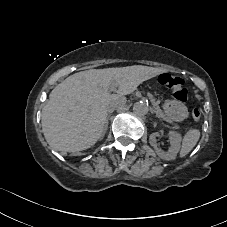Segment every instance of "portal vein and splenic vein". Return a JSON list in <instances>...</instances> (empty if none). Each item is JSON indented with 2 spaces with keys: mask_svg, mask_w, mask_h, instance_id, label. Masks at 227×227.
<instances>
[{
  "mask_svg": "<svg viewBox=\"0 0 227 227\" xmlns=\"http://www.w3.org/2000/svg\"><path fill=\"white\" fill-rule=\"evenodd\" d=\"M146 93L148 94L149 92L147 91ZM148 95L151 97L153 94L150 92ZM150 99L152 100L151 103L153 104V106H154V108L156 109V111L159 112V113H158L159 116H160L164 121L169 122V123L172 124L174 127H176L177 125H176L171 119L168 120V119L164 116V114L161 112L162 110H161L160 107H158L157 102L154 100L155 98L152 96Z\"/></svg>",
  "mask_w": 227,
  "mask_h": 227,
  "instance_id": "1",
  "label": "portal vein and splenic vein"
}]
</instances>
